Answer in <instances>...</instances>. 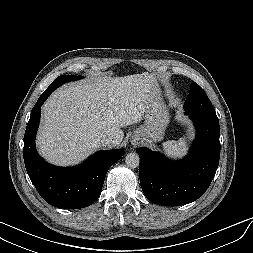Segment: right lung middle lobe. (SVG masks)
<instances>
[{"instance_id":"right-lung-middle-lobe-1","label":"right lung middle lobe","mask_w":253,"mask_h":253,"mask_svg":"<svg viewBox=\"0 0 253 253\" xmlns=\"http://www.w3.org/2000/svg\"><path fill=\"white\" fill-rule=\"evenodd\" d=\"M81 76H71V75H61L57 77L50 86L43 92L44 94H51L52 91H54L57 87L61 86L65 82L68 81H75L77 79H81Z\"/></svg>"}]
</instances>
